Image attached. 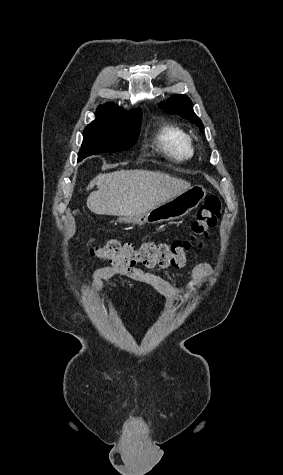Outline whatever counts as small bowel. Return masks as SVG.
Wrapping results in <instances>:
<instances>
[{"label": "small bowel", "mask_w": 283, "mask_h": 475, "mask_svg": "<svg viewBox=\"0 0 283 475\" xmlns=\"http://www.w3.org/2000/svg\"><path fill=\"white\" fill-rule=\"evenodd\" d=\"M212 275L213 268L210 264L206 262L198 263L193 268L192 280L184 287H177L163 277L139 267L113 263L94 271L90 294L102 290L105 280L116 276H124L155 288L164 297L165 305L171 308L175 301H192ZM108 309H111V307L108 306Z\"/></svg>", "instance_id": "1"}]
</instances>
